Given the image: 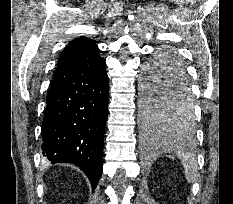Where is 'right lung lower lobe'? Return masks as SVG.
I'll list each match as a JSON object with an SVG mask.
<instances>
[{"mask_svg": "<svg viewBox=\"0 0 233 204\" xmlns=\"http://www.w3.org/2000/svg\"><path fill=\"white\" fill-rule=\"evenodd\" d=\"M106 64L81 66L53 85L42 123V153L51 163H72L95 189L102 174L108 105Z\"/></svg>", "mask_w": 233, "mask_h": 204, "instance_id": "98d812e1", "label": "right lung lower lobe"}]
</instances>
